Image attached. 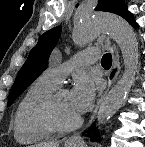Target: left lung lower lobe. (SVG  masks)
Listing matches in <instances>:
<instances>
[{
  "instance_id": "obj_1",
  "label": "left lung lower lobe",
  "mask_w": 145,
  "mask_h": 147,
  "mask_svg": "<svg viewBox=\"0 0 145 147\" xmlns=\"http://www.w3.org/2000/svg\"><path fill=\"white\" fill-rule=\"evenodd\" d=\"M123 17L132 25L135 27V22L133 19V16L128 12V10L124 13ZM97 134V131H94L93 136L91 137V141L95 140V135ZM89 136L91 135V133L89 132L88 134Z\"/></svg>"
}]
</instances>
